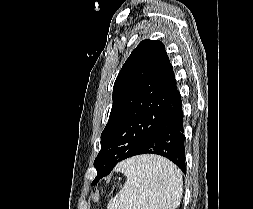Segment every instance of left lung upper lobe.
Listing matches in <instances>:
<instances>
[{
    "label": "left lung upper lobe",
    "instance_id": "left-lung-upper-lobe-1",
    "mask_svg": "<svg viewBox=\"0 0 253 209\" xmlns=\"http://www.w3.org/2000/svg\"><path fill=\"white\" fill-rule=\"evenodd\" d=\"M179 98L163 43L141 41L115 80L112 109L94 161V180L140 150L174 112Z\"/></svg>",
    "mask_w": 253,
    "mask_h": 209
}]
</instances>
